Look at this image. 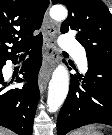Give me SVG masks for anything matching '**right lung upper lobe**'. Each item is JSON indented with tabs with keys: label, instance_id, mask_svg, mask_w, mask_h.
I'll return each instance as SVG.
<instances>
[{
	"label": "right lung upper lobe",
	"instance_id": "1",
	"mask_svg": "<svg viewBox=\"0 0 112 135\" xmlns=\"http://www.w3.org/2000/svg\"><path fill=\"white\" fill-rule=\"evenodd\" d=\"M49 0H0V62L42 38L40 29Z\"/></svg>",
	"mask_w": 112,
	"mask_h": 135
}]
</instances>
